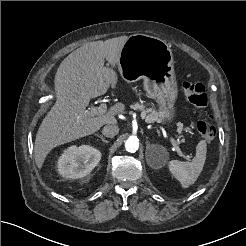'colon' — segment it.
Segmentation results:
<instances>
[{
    "label": "colon",
    "instance_id": "5ec220e1",
    "mask_svg": "<svg viewBox=\"0 0 246 246\" xmlns=\"http://www.w3.org/2000/svg\"><path fill=\"white\" fill-rule=\"evenodd\" d=\"M182 87L186 97L195 107L203 109L208 105L206 87L203 83L188 80ZM196 129L200 137L205 140H211L214 137L215 128L207 115L199 118Z\"/></svg>",
    "mask_w": 246,
    "mask_h": 246
}]
</instances>
